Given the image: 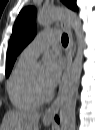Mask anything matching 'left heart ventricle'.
<instances>
[{"mask_svg":"<svg viewBox=\"0 0 95 130\" xmlns=\"http://www.w3.org/2000/svg\"><path fill=\"white\" fill-rule=\"evenodd\" d=\"M33 80L35 81V83L44 91L49 90L45 84H44V74L40 73L36 76L33 77Z\"/></svg>","mask_w":95,"mask_h":130,"instance_id":"left-heart-ventricle-1","label":"left heart ventricle"}]
</instances>
